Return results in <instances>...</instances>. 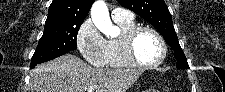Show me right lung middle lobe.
<instances>
[{"label": "right lung middle lobe", "mask_w": 225, "mask_h": 92, "mask_svg": "<svg viewBox=\"0 0 225 92\" xmlns=\"http://www.w3.org/2000/svg\"><path fill=\"white\" fill-rule=\"evenodd\" d=\"M82 23L83 21H69L45 25L44 33L38 42L30 66L49 61L77 49V33Z\"/></svg>", "instance_id": "dd1d6c3e"}]
</instances>
